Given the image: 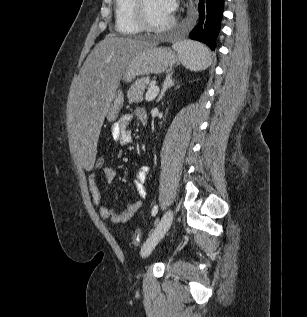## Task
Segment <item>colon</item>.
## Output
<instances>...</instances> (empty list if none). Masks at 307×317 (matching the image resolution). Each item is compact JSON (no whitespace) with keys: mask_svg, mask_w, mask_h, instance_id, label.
<instances>
[{"mask_svg":"<svg viewBox=\"0 0 307 317\" xmlns=\"http://www.w3.org/2000/svg\"><path fill=\"white\" fill-rule=\"evenodd\" d=\"M105 165V160L102 156H97L95 159L94 167L96 169H102ZM141 232L140 230H135L132 234V242L137 244L140 241Z\"/></svg>","mask_w":307,"mask_h":317,"instance_id":"colon-1","label":"colon"}]
</instances>
